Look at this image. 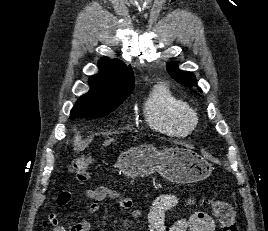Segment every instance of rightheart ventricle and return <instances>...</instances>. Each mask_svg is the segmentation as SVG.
Listing matches in <instances>:
<instances>
[{"instance_id": "1", "label": "right heart ventricle", "mask_w": 268, "mask_h": 231, "mask_svg": "<svg viewBox=\"0 0 268 231\" xmlns=\"http://www.w3.org/2000/svg\"><path fill=\"white\" fill-rule=\"evenodd\" d=\"M143 114L152 129L169 136H186L198 122L195 110L163 85L152 90L144 103Z\"/></svg>"}]
</instances>
